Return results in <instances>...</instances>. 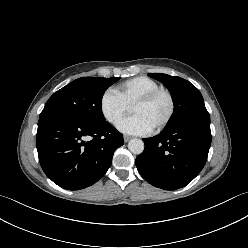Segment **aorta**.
<instances>
[{
	"label": "aorta",
	"mask_w": 248,
	"mask_h": 248,
	"mask_svg": "<svg viewBox=\"0 0 248 248\" xmlns=\"http://www.w3.org/2000/svg\"><path fill=\"white\" fill-rule=\"evenodd\" d=\"M128 149L131 153L139 155L144 150V142L141 139H131L128 143Z\"/></svg>",
	"instance_id": "obj_1"
}]
</instances>
